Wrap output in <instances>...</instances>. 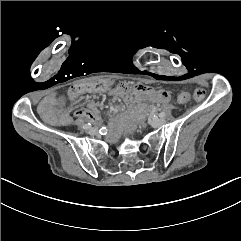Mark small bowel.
Returning a JSON list of instances; mask_svg holds the SVG:
<instances>
[{
  "instance_id": "1",
  "label": "small bowel",
  "mask_w": 241,
  "mask_h": 241,
  "mask_svg": "<svg viewBox=\"0 0 241 241\" xmlns=\"http://www.w3.org/2000/svg\"><path fill=\"white\" fill-rule=\"evenodd\" d=\"M108 84V89L106 92H108L111 95L121 97L123 98L127 105H131V98L128 95V90L125 84H118L113 85L110 81L105 80ZM83 93H81L82 95ZM133 94L136 98L142 99L148 103H167L172 98V93L167 88H151L149 86H145L143 84H138L133 89ZM60 95L57 93L56 95L49 97L47 100L50 102L51 100H55ZM44 102V105L47 107L49 105L48 101ZM44 108L43 111L45 112V115L50 118L52 115L48 112L47 108ZM75 115L80 121H87L90 120L92 122H96L99 120V116L96 113L95 106L93 103H90L87 108H80L75 111ZM65 120H67L69 117L65 115L63 117ZM62 117H59L57 120L59 122H62L64 119ZM136 124L129 123L126 125H123L120 130V135H114L111 137V139L115 142L119 141L121 135L124 136H130L134 133L136 130Z\"/></svg>"
}]
</instances>
